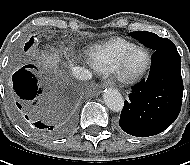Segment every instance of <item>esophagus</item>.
I'll use <instances>...</instances> for the list:
<instances>
[{
  "label": "esophagus",
  "instance_id": "1",
  "mask_svg": "<svg viewBox=\"0 0 190 165\" xmlns=\"http://www.w3.org/2000/svg\"><path fill=\"white\" fill-rule=\"evenodd\" d=\"M104 86H113L114 85V82L111 81V80H106L104 83H103Z\"/></svg>",
  "mask_w": 190,
  "mask_h": 165
}]
</instances>
